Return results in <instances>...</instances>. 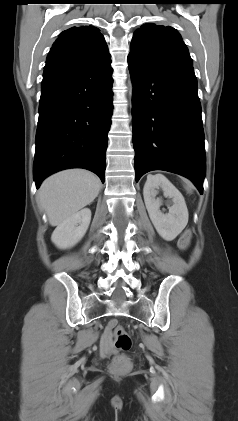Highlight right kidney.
<instances>
[{"label":"right kidney","mask_w":238,"mask_h":421,"mask_svg":"<svg viewBox=\"0 0 238 421\" xmlns=\"http://www.w3.org/2000/svg\"><path fill=\"white\" fill-rule=\"evenodd\" d=\"M91 221V211L84 208L62 222L54 230L51 240L59 249L76 245L85 235Z\"/></svg>","instance_id":"obj_1"}]
</instances>
